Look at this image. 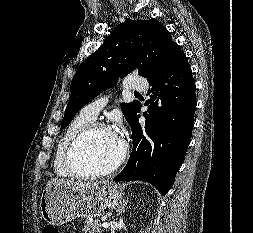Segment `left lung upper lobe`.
<instances>
[{
	"label": "left lung upper lobe",
	"mask_w": 253,
	"mask_h": 233,
	"mask_svg": "<svg viewBox=\"0 0 253 233\" xmlns=\"http://www.w3.org/2000/svg\"><path fill=\"white\" fill-rule=\"evenodd\" d=\"M175 44L167 29L153 18H127L120 23L101 47L78 67L71 82V99L61 130L85 104L115 86L119 77L123 78L133 71L143 77L154 72ZM137 105V101L121 105L129 123Z\"/></svg>",
	"instance_id": "5c2ea615"
}]
</instances>
